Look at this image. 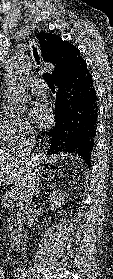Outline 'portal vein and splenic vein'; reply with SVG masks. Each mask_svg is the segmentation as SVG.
Returning <instances> with one entry per match:
<instances>
[{
  "label": "portal vein and splenic vein",
  "instance_id": "obj_1",
  "mask_svg": "<svg viewBox=\"0 0 113 279\" xmlns=\"http://www.w3.org/2000/svg\"><path fill=\"white\" fill-rule=\"evenodd\" d=\"M16 192H17V194L20 196V197H23L24 196V194H23V192L21 191V190H15Z\"/></svg>",
  "mask_w": 113,
  "mask_h": 279
}]
</instances>
